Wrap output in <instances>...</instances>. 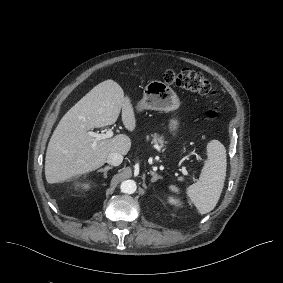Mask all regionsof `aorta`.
<instances>
[{
	"mask_svg": "<svg viewBox=\"0 0 283 283\" xmlns=\"http://www.w3.org/2000/svg\"><path fill=\"white\" fill-rule=\"evenodd\" d=\"M120 189L123 193L133 194L137 189V185L133 180H125L121 183Z\"/></svg>",
	"mask_w": 283,
	"mask_h": 283,
	"instance_id": "obj_1",
	"label": "aorta"
}]
</instances>
